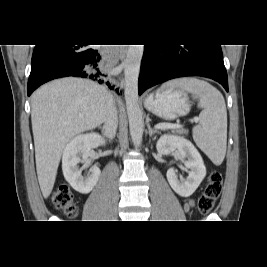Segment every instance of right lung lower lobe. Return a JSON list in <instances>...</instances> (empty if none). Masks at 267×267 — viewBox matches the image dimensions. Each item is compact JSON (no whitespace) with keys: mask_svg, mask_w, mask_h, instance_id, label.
<instances>
[{"mask_svg":"<svg viewBox=\"0 0 267 267\" xmlns=\"http://www.w3.org/2000/svg\"><path fill=\"white\" fill-rule=\"evenodd\" d=\"M88 78L100 84L109 81L104 60L98 50L88 45H36L28 80V96L40 85L61 77ZM117 90V89H116Z\"/></svg>","mask_w":267,"mask_h":267,"instance_id":"right-lung-lower-lobe-1","label":"right lung lower lobe"}]
</instances>
